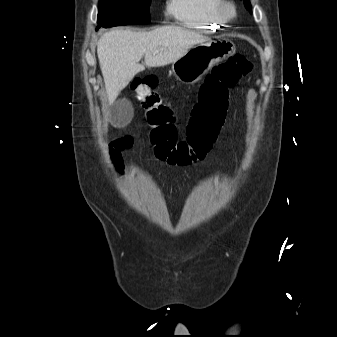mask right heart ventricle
<instances>
[{"label":"right heart ventricle","instance_id":"e07e8e85","mask_svg":"<svg viewBox=\"0 0 337 337\" xmlns=\"http://www.w3.org/2000/svg\"><path fill=\"white\" fill-rule=\"evenodd\" d=\"M222 0H169L167 13L181 25L199 31H213L228 24L221 13Z\"/></svg>","mask_w":337,"mask_h":337}]
</instances>
